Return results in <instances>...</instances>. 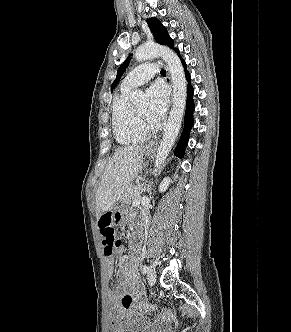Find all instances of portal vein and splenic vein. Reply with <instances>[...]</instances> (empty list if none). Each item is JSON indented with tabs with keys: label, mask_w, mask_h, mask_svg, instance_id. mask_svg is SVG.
<instances>
[{
	"label": "portal vein and splenic vein",
	"mask_w": 291,
	"mask_h": 332,
	"mask_svg": "<svg viewBox=\"0 0 291 332\" xmlns=\"http://www.w3.org/2000/svg\"><path fill=\"white\" fill-rule=\"evenodd\" d=\"M139 203H140L139 200H135L132 204H133V206H137V205H139Z\"/></svg>",
	"instance_id": "1"
}]
</instances>
